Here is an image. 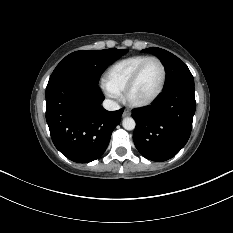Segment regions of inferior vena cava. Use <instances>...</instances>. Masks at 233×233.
Masks as SVG:
<instances>
[{
    "label": "inferior vena cava",
    "instance_id": "obj_1",
    "mask_svg": "<svg viewBox=\"0 0 233 233\" xmlns=\"http://www.w3.org/2000/svg\"><path fill=\"white\" fill-rule=\"evenodd\" d=\"M103 107L108 111H116L120 109V106L117 102L109 99L103 101Z\"/></svg>",
    "mask_w": 233,
    "mask_h": 233
}]
</instances>
